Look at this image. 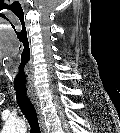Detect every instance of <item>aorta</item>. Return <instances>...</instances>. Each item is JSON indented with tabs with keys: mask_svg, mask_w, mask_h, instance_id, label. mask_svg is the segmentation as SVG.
<instances>
[{
	"mask_svg": "<svg viewBox=\"0 0 120 133\" xmlns=\"http://www.w3.org/2000/svg\"><path fill=\"white\" fill-rule=\"evenodd\" d=\"M25 130V125L22 121L9 122L6 126L7 133H19Z\"/></svg>",
	"mask_w": 120,
	"mask_h": 133,
	"instance_id": "aorta-1",
	"label": "aorta"
}]
</instances>
